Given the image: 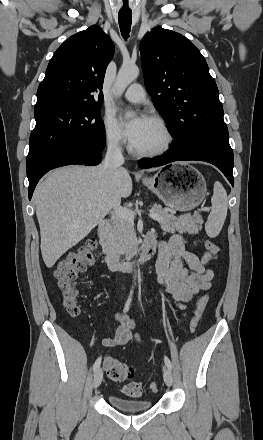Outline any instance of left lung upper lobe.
I'll use <instances>...</instances> for the list:
<instances>
[{"label":"left lung upper lobe","mask_w":263,"mask_h":440,"mask_svg":"<svg viewBox=\"0 0 263 440\" xmlns=\"http://www.w3.org/2000/svg\"><path fill=\"white\" fill-rule=\"evenodd\" d=\"M145 85L176 139L189 154L209 141L228 138L219 92L200 51L184 36L161 27L140 43Z\"/></svg>","instance_id":"left-lung-upper-lobe-1"}]
</instances>
